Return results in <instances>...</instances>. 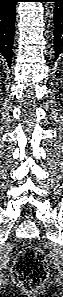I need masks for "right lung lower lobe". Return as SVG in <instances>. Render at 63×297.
<instances>
[{"instance_id": "98d812e1", "label": "right lung lower lobe", "mask_w": 63, "mask_h": 297, "mask_svg": "<svg viewBox=\"0 0 63 297\" xmlns=\"http://www.w3.org/2000/svg\"><path fill=\"white\" fill-rule=\"evenodd\" d=\"M18 0H0V54L11 65L15 28L16 4Z\"/></svg>"}]
</instances>
